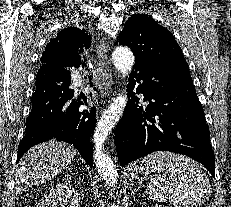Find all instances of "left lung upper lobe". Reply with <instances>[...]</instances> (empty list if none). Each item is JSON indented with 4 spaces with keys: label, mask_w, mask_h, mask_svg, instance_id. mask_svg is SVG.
I'll return each instance as SVG.
<instances>
[{
    "label": "left lung upper lobe",
    "mask_w": 231,
    "mask_h": 207,
    "mask_svg": "<svg viewBox=\"0 0 231 207\" xmlns=\"http://www.w3.org/2000/svg\"><path fill=\"white\" fill-rule=\"evenodd\" d=\"M119 42L132 49L135 61L144 60L179 75L190 76L189 66L174 36L151 17L131 16L119 35Z\"/></svg>",
    "instance_id": "1"
}]
</instances>
